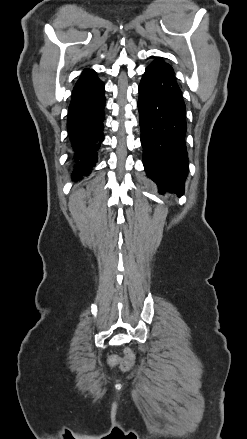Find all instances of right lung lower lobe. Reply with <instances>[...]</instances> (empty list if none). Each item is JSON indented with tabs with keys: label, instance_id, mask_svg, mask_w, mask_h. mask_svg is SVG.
I'll return each mask as SVG.
<instances>
[{
	"label": "right lung lower lobe",
	"instance_id": "right-lung-lower-lobe-1",
	"mask_svg": "<svg viewBox=\"0 0 247 439\" xmlns=\"http://www.w3.org/2000/svg\"><path fill=\"white\" fill-rule=\"evenodd\" d=\"M104 83L72 92L68 112V132L73 145V158L77 162L73 180L90 173L97 161L96 150L104 139Z\"/></svg>",
	"mask_w": 247,
	"mask_h": 439
}]
</instances>
